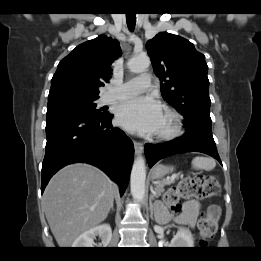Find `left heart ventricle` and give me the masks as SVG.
<instances>
[{
    "instance_id": "1",
    "label": "left heart ventricle",
    "mask_w": 261,
    "mask_h": 261,
    "mask_svg": "<svg viewBox=\"0 0 261 261\" xmlns=\"http://www.w3.org/2000/svg\"><path fill=\"white\" fill-rule=\"evenodd\" d=\"M168 127H169V120H168L167 117L165 116L160 131H164V130H166Z\"/></svg>"
}]
</instances>
